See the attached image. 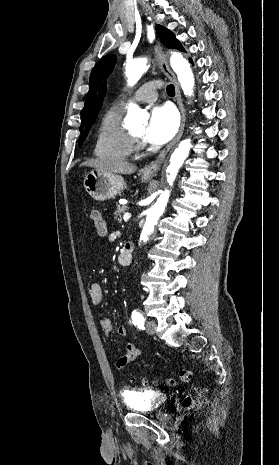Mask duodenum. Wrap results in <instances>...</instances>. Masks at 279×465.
I'll use <instances>...</instances> for the list:
<instances>
[{
	"mask_svg": "<svg viewBox=\"0 0 279 465\" xmlns=\"http://www.w3.org/2000/svg\"><path fill=\"white\" fill-rule=\"evenodd\" d=\"M132 251H133V245L132 243H126L119 256H118V262L121 264V265H128L130 264L131 262V259H132Z\"/></svg>",
	"mask_w": 279,
	"mask_h": 465,
	"instance_id": "duodenum-1",
	"label": "duodenum"
}]
</instances>
